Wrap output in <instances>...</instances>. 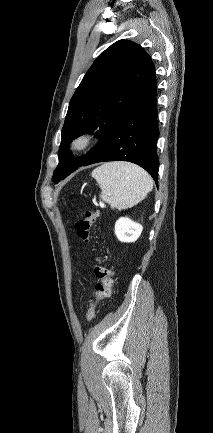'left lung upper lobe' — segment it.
<instances>
[{"instance_id": "1", "label": "left lung upper lobe", "mask_w": 213, "mask_h": 433, "mask_svg": "<svg viewBox=\"0 0 213 433\" xmlns=\"http://www.w3.org/2000/svg\"><path fill=\"white\" fill-rule=\"evenodd\" d=\"M153 70L151 57L140 45L128 40L115 42L94 61L70 100L54 182L85 165L99 150ZM90 132L99 138L98 144L86 155L74 158L67 146L75 137Z\"/></svg>"}]
</instances>
